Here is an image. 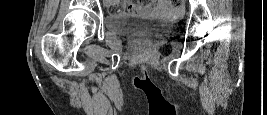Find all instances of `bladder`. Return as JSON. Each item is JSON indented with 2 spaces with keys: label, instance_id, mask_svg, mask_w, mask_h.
I'll list each match as a JSON object with an SVG mask.
<instances>
[{
  "label": "bladder",
  "instance_id": "1",
  "mask_svg": "<svg viewBox=\"0 0 267 115\" xmlns=\"http://www.w3.org/2000/svg\"><path fill=\"white\" fill-rule=\"evenodd\" d=\"M158 18L155 14H108L105 17V26L116 35H130L146 31Z\"/></svg>",
  "mask_w": 267,
  "mask_h": 115
}]
</instances>
